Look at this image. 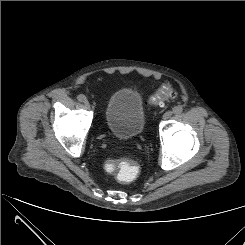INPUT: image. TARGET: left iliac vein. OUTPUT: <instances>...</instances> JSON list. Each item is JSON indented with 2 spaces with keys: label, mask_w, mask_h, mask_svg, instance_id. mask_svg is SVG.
I'll return each instance as SVG.
<instances>
[{
  "label": "left iliac vein",
  "mask_w": 245,
  "mask_h": 245,
  "mask_svg": "<svg viewBox=\"0 0 245 245\" xmlns=\"http://www.w3.org/2000/svg\"><path fill=\"white\" fill-rule=\"evenodd\" d=\"M172 115H173V112L172 111H167V112H165L164 114H163V119L164 120H167V119H170L171 117H172Z\"/></svg>",
  "instance_id": "1"
}]
</instances>
